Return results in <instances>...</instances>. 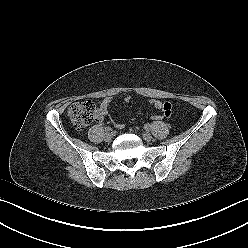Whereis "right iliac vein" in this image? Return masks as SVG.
Listing matches in <instances>:
<instances>
[{
	"mask_svg": "<svg viewBox=\"0 0 248 248\" xmlns=\"http://www.w3.org/2000/svg\"><path fill=\"white\" fill-rule=\"evenodd\" d=\"M113 138V133L111 132H106L105 133V140L110 141Z\"/></svg>",
	"mask_w": 248,
	"mask_h": 248,
	"instance_id": "63e3f726",
	"label": "right iliac vein"
}]
</instances>
